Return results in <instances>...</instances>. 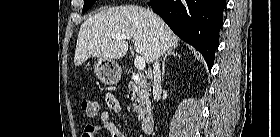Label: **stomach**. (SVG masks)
<instances>
[{
  "label": "stomach",
  "mask_w": 280,
  "mask_h": 137,
  "mask_svg": "<svg viewBox=\"0 0 280 137\" xmlns=\"http://www.w3.org/2000/svg\"><path fill=\"white\" fill-rule=\"evenodd\" d=\"M94 69L97 77L107 85L116 84L121 78V69L114 60L99 58Z\"/></svg>",
  "instance_id": "0dacf381"
}]
</instances>
